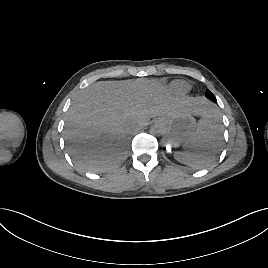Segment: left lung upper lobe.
<instances>
[{"mask_svg":"<svg viewBox=\"0 0 268 268\" xmlns=\"http://www.w3.org/2000/svg\"><path fill=\"white\" fill-rule=\"evenodd\" d=\"M205 96L208 99L212 100L213 102H216L217 101L216 98H215V96L210 91H207L206 94H205Z\"/></svg>","mask_w":268,"mask_h":268,"instance_id":"obj_1","label":"left lung upper lobe"}]
</instances>
